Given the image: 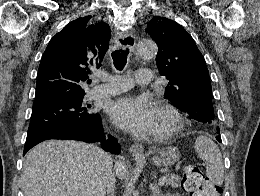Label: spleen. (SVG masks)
<instances>
[{"label":"spleen","instance_id":"1","mask_svg":"<svg viewBox=\"0 0 260 196\" xmlns=\"http://www.w3.org/2000/svg\"><path fill=\"white\" fill-rule=\"evenodd\" d=\"M195 152L206 166V176L211 184L221 186L224 182L222 154L215 142L207 136H198L195 140Z\"/></svg>","mask_w":260,"mask_h":196}]
</instances>
